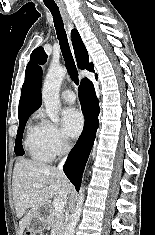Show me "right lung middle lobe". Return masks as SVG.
Masks as SVG:
<instances>
[{"mask_svg": "<svg viewBox=\"0 0 155 235\" xmlns=\"http://www.w3.org/2000/svg\"><path fill=\"white\" fill-rule=\"evenodd\" d=\"M28 118L29 116L19 119V127H18L16 142H15V148H14L15 154L17 156H22L25 153L23 146H22V135H23L24 128H25Z\"/></svg>", "mask_w": 155, "mask_h": 235, "instance_id": "dd1d6c3e", "label": "right lung middle lobe"}]
</instances>
